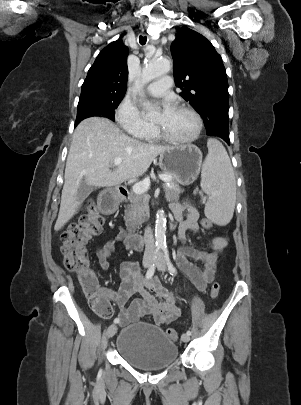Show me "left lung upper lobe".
Masks as SVG:
<instances>
[{"label":"left lung upper lobe","instance_id":"1","mask_svg":"<svg viewBox=\"0 0 301 405\" xmlns=\"http://www.w3.org/2000/svg\"><path fill=\"white\" fill-rule=\"evenodd\" d=\"M174 79L201 115L207 135L229 134L228 81L221 56L201 34L182 28L171 45Z\"/></svg>","mask_w":301,"mask_h":405}]
</instances>
